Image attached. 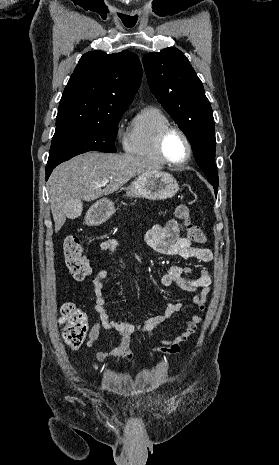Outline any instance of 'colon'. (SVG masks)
<instances>
[{"label": "colon", "instance_id": "1", "mask_svg": "<svg viewBox=\"0 0 279 465\" xmlns=\"http://www.w3.org/2000/svg\"><path fill=\"white\" fill-rule=\"evenodd\" d=\"M175 216L184 223L190 240L197 243L206 241L202 228L191 221L187 205H178L175 208ZM63 256L65 266L74 279L83 280L90 274L89 258L83 254V247L77 236H68L64 240ZM61 322L64 325L63 338L65 343L73 349L79 348L88 333L85 312L73 303H65L61 307Z\"/></svg>", "mask_w": 279, "mask_h": 465}]
</instances>
